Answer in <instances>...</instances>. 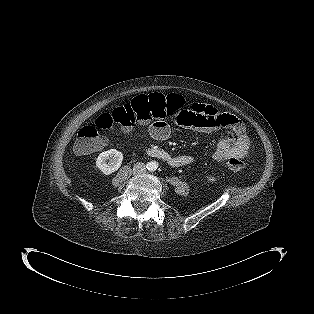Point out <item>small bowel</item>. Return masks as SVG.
<instances>
[{
  "instance_id": "obj_1",
  "label": "small bowel",
  "mask_w": 314,
  "mask_h": 314,
  "mask_svg": "<svg viewBox=\"0 0 314 314\" xmlns=\"http://www.w3.org/2000/svg\"><path fill=\"white\" fill-rule=\"evenodd\" d=\"M171 121L179 129L187 127L197 132L228 130L221 136L212 153L211 158L215 162H224L231 158L246 159L250 154L251 139L242 122L236 116L222 112L212 105L195 103L189 108H179L173 112ZM149 133L156 140H165L170 135V127L165 121H157L150 126ZM193 161L191 155H177L171 165L182 167Z\"/></svg>"
}]
</instances>
